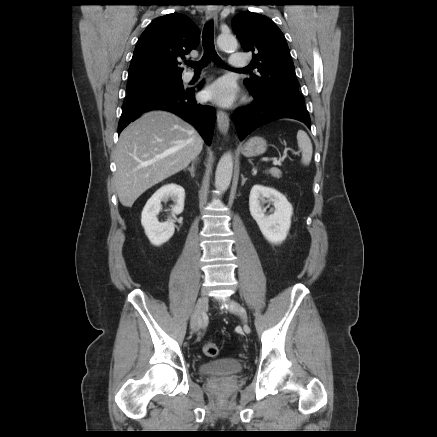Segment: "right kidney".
<instances>
[{"instance_id":"obj_1","label":"right kidney","mask_w":437,"mask_h":437,"mask_svg":"<svg viewBox=\"0 0 437 437\" xmlns=\"http://www.w3.org/2000/svg\"><path fill=\"white\" fill-rule=\"evenodd\" d=\"M171 198L175 205L172 206V217L179 215L184 209L185 190L182 186L171 183L158 189L147 201L142 211L141 224L151 244L160 246L167 242L174 234V219L169 218L161 223L157 215L161 211V202Z\"/></svg>"}]
</instances>
